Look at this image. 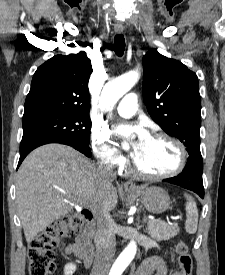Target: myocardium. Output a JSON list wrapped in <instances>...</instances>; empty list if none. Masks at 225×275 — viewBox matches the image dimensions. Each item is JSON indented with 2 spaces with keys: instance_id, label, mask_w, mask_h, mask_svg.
I'll use <instances>...</instances> for the list:
<instances>
[{
  "instance_id": "f54148a6",
  "label": "myocardium",
  "mask_w": 225,
  "mask_h": 275,
  "mask_svg": "<svg viewBox=\"0 0 225 275\" xmlns=\"http://www.w3.org/2000/svg\"><path fill=\"white\" fill-rule=\"evenodd\" d=\"M150 137L152 138H159V139H164L170 142L177 150L178 153V161L174 169L171 171L161 173V174H149L144 171H142L139 166L137 165L136 161H133V171L134 173L144 179L147 180H162V179H167L176 176L179 174L185 167L186 162H187V152L182 144L181 141L176 139L175 137L164 133V132H155L153 133Z\"/></svg>"
}]
</instances>
